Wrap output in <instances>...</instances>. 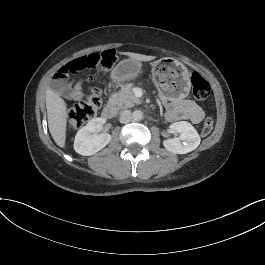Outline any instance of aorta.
<instances>
[{
    "label": "aorta",
    "instance_id": "762f6f07",
    "mask_svg": "<svg viewBox=\"0 0 265 265\" xmlns=\"http://www.w3.org/2000/svg\"><path fill=\"white\" fill-rule=\"evenodd\" d=\"M132 118L135 121H140L143 118V113L140 110H135L132 114Z\"/></svg>",
    "mask_w": 265,
    "mask_h": 265
}]
</instances>
